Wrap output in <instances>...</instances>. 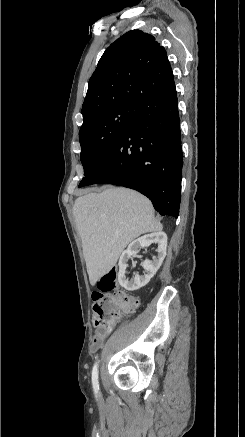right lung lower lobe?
<instances>
[{
  "label": "right lung lower lobe",
  "mask_w": 245,
  "mask_h": 437,
  "mask_svg": "<svg viewBox=\"0 0 245 437\" xmlns=\"http://www.w3.org/2000/svg\"><path fill=\"white\" fill-rule=\"evenodd\" d=\"M183 152L176 90L147 99L109 155L79 187L110 183L139 191L161 215L177 218L181 201Z\"/></svg>",
  "instance_id": "1"
}]
</instances>
